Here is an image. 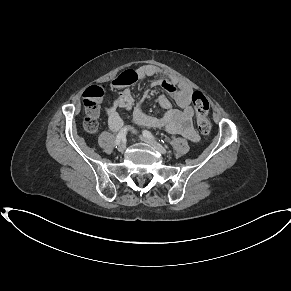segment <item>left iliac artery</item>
Masks as SVG:
<instances>
[{
	"label": "left iliac artery",
	"mask_w": 291,
	"mask_h": 291,
	"mask_svg": "<svg viewBox=\"0 0 291 291\" xmlns=\"http://www.w3.org/2000/svg\"><path fill=\"white\" fill-rule=\"evenodd\" d=\"M143 135H144L145 137H147V138L152 139V140H158L159 142L164 143L163 140L158 139V138L155 137L151 132H149V131H147V130H144V131H143Z\"/></svg>",
	"instance_id": "1"
}]
</instances>
